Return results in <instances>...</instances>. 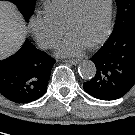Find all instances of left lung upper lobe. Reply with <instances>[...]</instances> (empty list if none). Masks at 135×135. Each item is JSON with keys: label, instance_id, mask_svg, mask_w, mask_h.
Returning a JSON list of instances; mask_svg holds the SVG:
<instances>
[{"label": "left lung upper lobe", "instance_id": "1", "mask_svg": "<svg viewBox=\"0 0 135 135\" xmlns=\"http://www.w3.org/2000/svg\"><path fill=\"white\" fill-rule=\"evenodd\" d=\"M117 16L110 38L128 32L135 24V0H116Z\"/></svg>", "mask_w": 135, "mask_h": 135}]
</instances>
